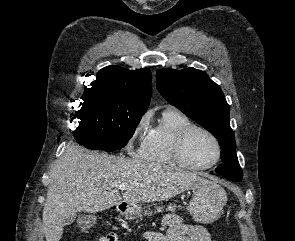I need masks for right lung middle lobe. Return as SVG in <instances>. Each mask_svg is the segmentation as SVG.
I'll return each mask as SVG.
<instances>
[{"label": "right lung middle lobe", "mask_w": 295, "mask_h": 241, "mask_svg": "<svg viewBox=\"0 0 295 241\" xmlns=\"http://www.w3.org/2000/svg\"><path fill=\"white\" fill-rule=\"evenodd\" d=\"M76 111V141L89 149L115 151L133 136L146 109L101 92L83 96Z\"/></svg>", "instance_id": "right-lung-middle-lobe-1"}]
</instances>
